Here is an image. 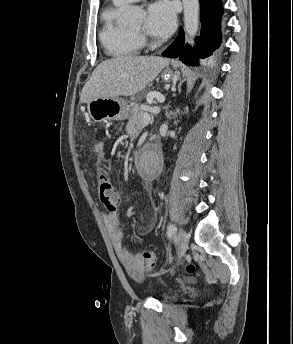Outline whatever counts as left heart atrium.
Here are the masks:
<instances>
[{"instance_id": "39dd6f15", "label": "left heart atrium", "mask_w": 293, "mask_h": 344, "mask_svg": "<svg viewBox=\"0 0 293 344\" xmlns=\"http://www.w3.org/2000/svg\"><path fill=\"white\" fill-rule=\"evenodd\" d=\"M176 26V15L173 6L166 0L149 5L144 23L147 34L154 38H167Z\"/></svg>"}]
</instances>
